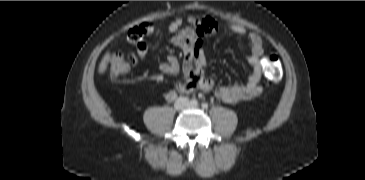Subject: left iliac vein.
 I'll use <instances>...</instances> for the list:
<instances>
[{"instance_id":"left-iliac-vein-1","label":"left iliac vein","mask_w":365,"mask_h":180,"mask_svg":"<svg viewBox=\"0 0 365 180\" xmlns=\"http://www.w3.org/2000/svg\"><path fill=\"white\" fill-rule=\"evenodd\" d=\"M189 107H191V108H196V109H198V108H199L198 106H189Z\"/></svg>"}]
</instances>
